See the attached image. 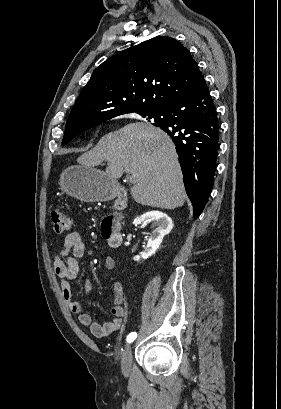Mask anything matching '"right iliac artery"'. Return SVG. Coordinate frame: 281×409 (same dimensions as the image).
I'll return each mask as SVG.
<instances>
[{
  "mask_svg": "<svg viewBox=\"0 0 281 409\" xmlns=\"http://www.w3.org/2000/svg\"><path fill=\"white\" fill-rule=\"evenodd\" d=\"M136 337H137V334H136L135 332L130 333V334L127 336V342H132V341H134Z\"/></svg>",
  "mask_w": 281,
  "mask_h": 409,
  "instance_id": "1",
  "label": "right iliac artery"
}]
</instances>
